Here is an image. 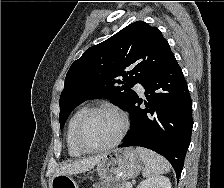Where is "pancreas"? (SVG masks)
<instances>
[{
	"instance_id": "obj_1",
	"label": "pancreas",
	"mask_w": 224,
	"mask_h": 188,
	"mask_svg": "<svg viewBox=\"0 0 224 188\" xmlns=\"http://www.w3.org/2000/svg\"><path fill=\"white\" fill-rule=\"evenodd\" d=\"M94 188H126V182L108 183L98 182L93 185Z\"/></svg>"
}]
</instances>
